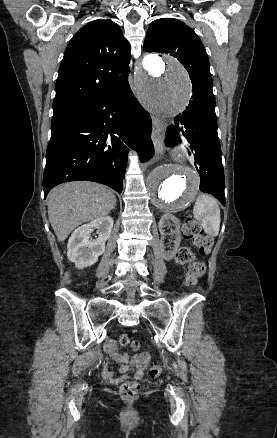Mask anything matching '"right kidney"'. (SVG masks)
I'll list each match as a JSON object with an SVG mask.
<instances>
[{
	"label": "right kidney",
	"mask_w": 277,
	"mask_h": 438,
	"mask_svg": "<svg viewBox=\"0 0 277 438\" xmlns=\"http://www.w3.org/2000/svg\"><path fill=\"white\" fill-rule=\"evenodd\" d=\"M113 218L102 216L92 220L90 224H83L71 234L67 244V256L74 262L78 270L96 264L99 256L105 252V242L109 240L113 228ZM97 228L98 238L90 242L89 236Z\"/></svg>",
	"instance_id": "1"
}]
</instances>
